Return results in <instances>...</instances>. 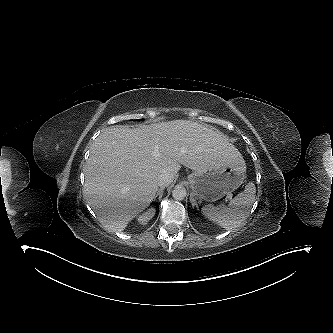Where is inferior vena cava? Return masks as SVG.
<instances>
[{
	"label": "inferior vena cava",
	"mask_w": 333,
	"mask_h": 333,
	"mask_svg": "<svg viewBox=\"0 0 333 333\" xmlns=\"http://www.w3.org/2000/svg\"><path fill=\"white\" fill-rule=\"evenodd\" d=\"M173 182V177L168 173H163L158 176L157 185L161 188L167 187Z\"/></svg>",
	"instance_id": "602c4592"
}]
</instances>
